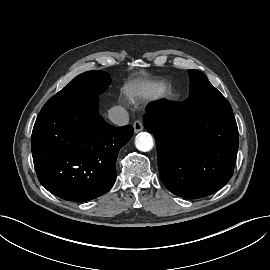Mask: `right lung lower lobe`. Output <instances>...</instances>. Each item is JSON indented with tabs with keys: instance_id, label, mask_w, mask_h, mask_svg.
Listing matches in <instances>:
<instances>
[{
	"instance_id": "obj_1",
	"label": "right lung lower lobe",
	"mask_w": 270,
	"mask_h": 270,
	"mask_svg": "<svg viewBox=\"0 0 270 270\" xmlns=\"http://www.w3.org/2000/svg\"><path fill=\"white\" fill-rule=\"evenodd\" d=\"M132 134L130 125L116 128L104 121L98 98L42 109L31 137L40 183L69 201L102 196L115 182L118 152Z\"/></svg>"
}]
</instances>
